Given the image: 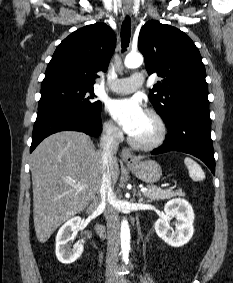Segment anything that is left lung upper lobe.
Listing matches in <instances>:
<instances>
[{
	"instance_id": "left-lung-upper-lobe-1",
	"label": "left lung upper lobe",
	"mask_w": 233,
	"mask_h": 283,
	"mask_svg": "<svg viewBox=\"0 0 233 283\" xmlns=\"http://www.w3.org/2000/svg\"><path fill=\"white\" fill-rule=\"evenodd\" d=\"M138 49L148 73L160 77L149 100L165 122L188 110H209L205 66L198 48L184 32L148 21L140 30Z\"/></svg>"
}]
</instances>
